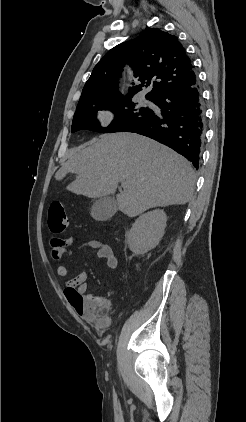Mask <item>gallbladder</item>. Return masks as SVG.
<instances>
[{
	"label": "gallbladder",
	"mask_w": 246,
	"mask_h": 422,
	"mask_svg": "<svg viewBox=\"0 0 246 422\" xmlns=\"http://www.w3.org/2000/svg\"><path fill=\"white\" fill-rule=\"evenodd\" d=\"M117 211V202L114 197L103 196L96 199L91 207V216L97 221L110 219Z\"/></svg>",
	"instance_id": "obj_1"
}]
</instances>
